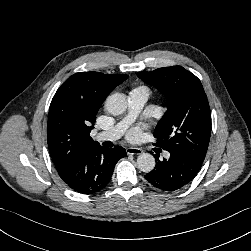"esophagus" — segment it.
I'll return each instance as SVG.
<instances>
[{"instance_id": "obj_1", "label": "esophagus", "mask_w": 251, "mask_h": 251, "mask_svg": "<svg viewBox=\"0 0 251 251\" xmlns=\"http://www.w3.org/2000/svg\"><path fill=\"white\" fill-rule=\"evenodd\" d=\"M126 152L130 155H140L142 153V150L140 148L129 147L126 149Z\"/></svg>"}]
</instances>
